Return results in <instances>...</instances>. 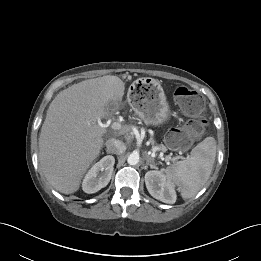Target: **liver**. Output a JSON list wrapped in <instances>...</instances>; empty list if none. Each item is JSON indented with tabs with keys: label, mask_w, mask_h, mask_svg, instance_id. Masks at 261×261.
Returning a JSON list of instances; mask_svg holds the SVG:
<instances>
[{
	"label": "liver",
	"mask_w": 261,
	"mask_h": 261,
	"mask_svg": "<svg viewBox=\"0 0 261 261\" xmlns=\"http://www.w3.org/2000/svg\"><path fill=\"white\" fill-rule=\"evenodd\" d=\"M124 82L103 76L74 84L50 103L39 137V162L49 184L64 194L76 192L103 147L106 129L97 121L110 102L124 95ZM131 130L125 125L119 134Z\"/></svg>",
	"instance_id": "liver-1"
}]
</instances>
